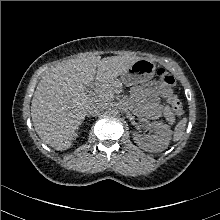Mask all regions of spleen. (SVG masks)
Returning a JSON list of instances; mask_svg holds the SVG:
<instances>
[{
	"mask_svg": "<svg viewBox=\"0 0 220 220\" xmlns=\"http://www.w3.org/2000/svg\"><path fill=\"white\" fill-rule=\"evenodd\" d=\"M186 121L187 119L186 118H183L175 127V130H174V135H173V141L176 142L178 141L183 133H184V130H185V126H186Z\"/></svg>",
	"mask_w": 220,
	"mask_h": 220,
	"instance_id": "1",
	"label": "spleen"
}]
</instances>
